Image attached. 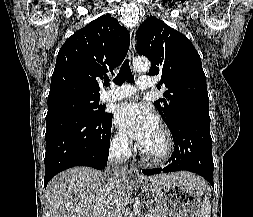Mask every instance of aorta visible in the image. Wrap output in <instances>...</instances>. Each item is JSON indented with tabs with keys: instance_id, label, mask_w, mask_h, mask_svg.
<instances>
[{
	"instance_id": "obj_1",
	"label": "aorta",
	"mask_w": 253,
	"mask_h": 217,
	"mask_svg": "<svg viewBox=\"0 0 253 217\" xmlns=\"http://www.w3.org/2000/svg\"><path fill=\"white\" fill-rule=\"evenodd\" d=\"M133 67L138 72H146L150 68V62L145 58H137L133 61Z\"/></svg>"
}]
</instances>
